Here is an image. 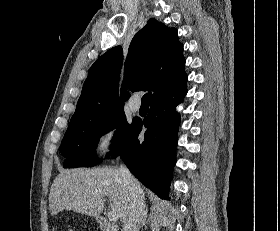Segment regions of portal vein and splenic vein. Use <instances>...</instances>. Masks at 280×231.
I'll list each match as a JSON object with an SVG mask.
<instances>
[{
	"label": "portal vein and splenic vein",
	"instance_id": "1",
	"mask_svg": "<svg viewBox=\"0 0 280 231\" xmlns=\"http://www.w3.org/2000/svg\"><path fill=\"white\" fill-rule=\"evenodd\" d=\"M107 215L109 221H117L118 219L117 211H108Z\"/></svg>",
	"mask_w": 280,
	"mask_h": 231
}]
</instances>
